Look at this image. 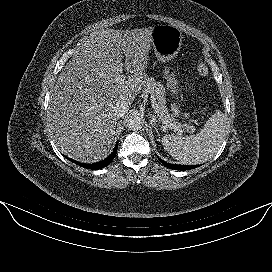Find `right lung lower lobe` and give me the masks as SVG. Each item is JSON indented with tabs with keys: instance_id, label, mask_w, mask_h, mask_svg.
Returning a JSON list of instances; mask_svg holds the SVG:
<instances>
[{
	"instance_id": "98d812e1",
	"label": "right lung lower lobe",
	"mask_w": 272,
	"mask_h": 272,
	"mask_svg": "<svg viewBox=\"0 0 272 272\" xmlns=\"http://www.w3.org/2000/svg\"><path fill=\"white\" fill-rule=\"evenodd\" d=\"M116 153H117V145L115 146L113 152L111 153V155L109 157H107L105 160L103 161H100L98 163H93V164H84V163H79V162H76L72 159H69L70 161H72L73 163L83 167V168H87V169H101V168H104L106 167L116 156Z\"/></svg>"
}]
</instances>
